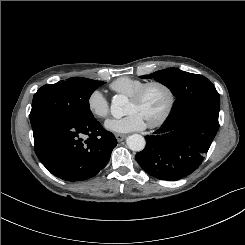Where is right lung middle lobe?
Returning a JSON list of instances; mask_svg holds the SVG:
<instances>
[{
    "label": "right lung middle lobe",
    "mask_w": 245,
    "mask_h": 245,
    "mask_svg": "<svg viewBox=\"0 0 245 245\" xmlns=\"http://www.w3.org/2000/svg\"><path fill=\"white\" fill-rule=\"evenodd\" d=\"M103 84V81L72 77L42 86L33 97L31 125L48 117L67 122L92 120L94 117L88 100L93 91Z\"/></svg>",
    "instance_id": "1"
}]
</instances>
